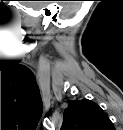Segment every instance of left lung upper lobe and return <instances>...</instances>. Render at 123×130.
Returning <instances> with one entry per match:
<instances>
[{
    "mask_svg": "<svg viewBox=\"0 0 123 130\" xmlns=\"http://www.w3.org/2000/svg\"><path fill=\"white\" fill-rule=\"evenodd\" d=\"M112 127L102 108L88 99L69 101L64 111V130H111Z\"/></svg>",
    "mask_w": 123,
    "mask_h": 130,
    "instance_id": "1",
    "label": "left lung upper lobe"
}]
</instances>
